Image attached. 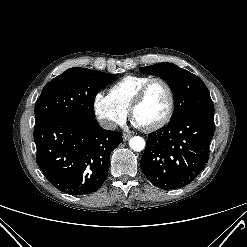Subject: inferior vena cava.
<instances>
[{
	"label": "inferior vena cava",
	"mask_w": 247,
	"mask_h": 247,
	"mask_svg": "<svg viewBox=\"0 0 247 247\" xmlns=\"http://www.w3.org/2000/svg\"><path fill=\"white\" fill-rule=\"evenodd\" d=\"M99 124L102 128L107 129V130H115L117 128V124L107 120V119H100Z\"/></svg>",
	"instance_id": "602c4592"
}]
</instances>
